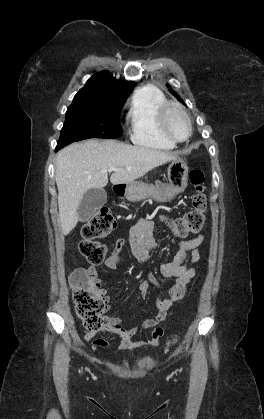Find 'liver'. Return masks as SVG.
<instances>
[{
    "label": "liver",
    "mask_w": 264,
    "mask_h": 419,
    "mask_svg": "<svg viewBox=\"0 0 264 419\" xmlns=\"http://www.w3.org/2000/svg\"><path fill=\"white\" fill-rule=\"evenodd\" d=\"M176 158V153L115 140L90 139L65 147L57 155L55 173L62 233L68 235L76 227L83 194L108 184L110 167L119 169L110 177L112 184H130Z\"/></svg>",
    "instance_id": "liver-1"
}]
</instances>
